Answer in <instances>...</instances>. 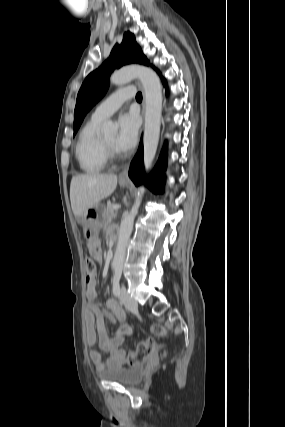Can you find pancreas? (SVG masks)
Wrapping results in <instances>:
<instances>
[{
  "mask_svg": "<svg viewBox=\"0 0 285 427\" xmlns=\"http://www.w3.org/2000/svg\"><path fill=\"white\" fill-rule=\"evenodd\" d=\"M114 204L108 203L103 216L102 226H108L111 221L117 216V211L113 209Z\"/></svg>",
  "mask_w": 285,
  "mask_h": 427,
  "instance_id": "cf45deb5",
  "label": "pancreas"
}]
</instances>
